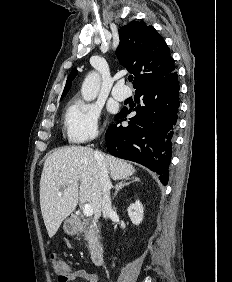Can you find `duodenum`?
<instances>
[{
  "instance_id": "duodenum-1",
  "label": "duodenum",
  "mask_w": 232,
  "mask_h": 282,
  "mask_svg": "<svg viewBox=\"0 0 232 282\" xmlns=\"http://www.w3.org/2000/svg\"><path fill=\"white\" fill-rule=\"evenodd\" d=\"M75 226L78 230L82 229V225L79 221H75ZM91 260L95 265H102L104 260V248L99 242H94L90 247Z\"/></svg>"
}]
</instances>
